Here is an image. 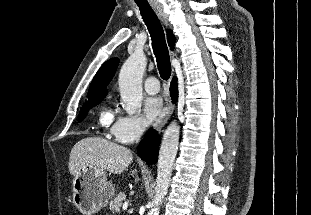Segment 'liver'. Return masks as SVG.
I'll list each match as a JSON object with an SVG mask.
<instances>
[{"label": "liver", "instance_id": "6515ba94", "mask_svg": "<svg viewBox=\"0 0 311 215\" xmlns=\"http://www.w3.org/2000/svg\"><path fill=\"white\" fill-rule=\"evenodd\" d=\"M133 161L130 149L99 137L78 141L69 158L70 174L75 176L80 168H93L121 174ZM131 175L137 173L134 169Z\"/></svg>", "mask_w": 311, "mask_h": 215}]
</instances>
